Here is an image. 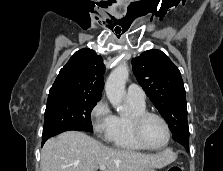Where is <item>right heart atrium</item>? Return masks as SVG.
Listing matches in <instances>:
<instances>
[{
  "label": "right heart atrium",
  "instance_id": "obj_1",
  "mask_svg": "<svg viewBox=\"0 0 223 171\" xmlns=\"http://www.w3.org/2000/svg\"><path fill=\"white\" fill-rule=\"evenodd\" d=\"M114 115L106 102L99 100L91 110L90 120L94 133L102 138L108 137L113 126Z\"/></svg>",
  "mask_w": 223,
  "mask_h": 171
}]
</instances>
